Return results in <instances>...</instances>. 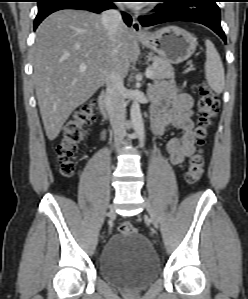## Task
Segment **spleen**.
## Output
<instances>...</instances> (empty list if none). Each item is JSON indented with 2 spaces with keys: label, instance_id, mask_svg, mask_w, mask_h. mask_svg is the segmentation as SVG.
<instances>
[{
  "label": "spleen",
  "instance_id": "1",
  "mask_svg": "<svg viewBox=\"0 0 248 299\" xmlns=\"http://www.w3.org/2000/svg\"><path fill=\"white\" fill-rule=\"evenodd\" d=\"M206 62L205 75L211 89L220 94L224 90V68L219 53L210 40L205 41Z\"/></svg>",
  "mask_w": 248,
  "mask_h": 299
}]
</instances>
